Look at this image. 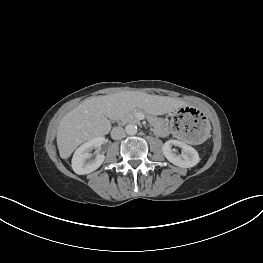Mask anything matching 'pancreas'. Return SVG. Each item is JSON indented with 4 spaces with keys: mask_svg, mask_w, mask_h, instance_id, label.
Returning <instances> with one entry per match:
<instances>
[{
    "mask_svg": "<svg viewBox=\"0 0 263 263\" xmlns=\"http://www.w3.org/2000/svg\"><path fill=\"white\" fill-rule=\"evenodd\" d=\"M141 111L139 109H135L133 111L128 112L122 117V121H138L136 115L140 113ZM146 119L151 123V125L154 127V130L157 132L160 129V126L162 124L161 119L154 117L152 115L146 114Z\"/></svg>",
    "mask_w": 263,
    "mask_h": 263,
    "instance_id": "pancreas-1",
    "label": "pancreas"
}]
</instances>
